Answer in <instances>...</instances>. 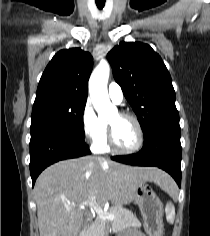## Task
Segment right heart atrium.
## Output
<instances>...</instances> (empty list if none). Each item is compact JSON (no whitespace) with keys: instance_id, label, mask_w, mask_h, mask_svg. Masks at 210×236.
Segmentation results:
<instances>
[{"instance_id":"obj_1","label":"right heart atrium","mask_w":210,"mask_h":236,"mask_svg":"<svg viewBox=\"0 0 210 236\" xmlns=\"http://www.w3.org/2000/svg\"><path fill=\"white\" fill-rule=\"evenodd\" d=\"M81 128L84 138L94 144L100 140L107 131V123L95 112L90 100H87L81 114Z\"/></svg>"}]
</instances>
